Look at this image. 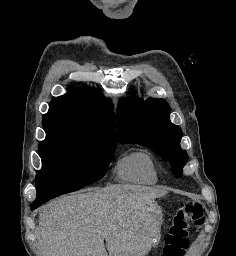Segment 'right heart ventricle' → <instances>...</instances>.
Returning a JSON list of instances; mask_svg holds the SVG:
<instances>
[{"instance_id": "obj_1", "label": "right heart ventricle", "mask_w": 236, "mask_h": 256, "mask_svg": "<svg viewBox=\"0 0 236 256\" xmlns=\"http://www.w3.org/2000/svg\"><path fill=\"white\" fill-rule=\"evenodd\" d=\"M117 177L125 183L152 185L159 180V170L153 157L142 150L121 158L116 168Z\"/></svg>"}]
</instances>
